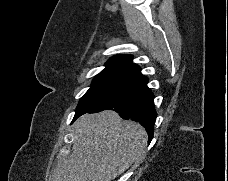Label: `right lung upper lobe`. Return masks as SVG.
Masks as SVG:
<instances>
[{
  "label": "right lung upper lobe",
  "instance_id": "right-lung-upper-lobe-1",
  "mask_svg": "<svg viewBox=\"0 0 228 181\" xmlns=\"http://www.w3.org/2000/svg\"><path fill=\"white\" fill-rule=\"evenodd\" d=\"M130 55H116L109 59L106 68L96 77L117 78L132 81L142 74L140 67L131 62Z\"/></svg>",
  "mask_w": 228,
  "mask_h": 181
}]
</instances>
